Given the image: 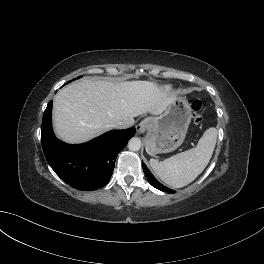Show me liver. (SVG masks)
<instances>
[{
    "mask_svg": "<svg viewBox=\"0 0 264 264\" xmlns=\"http://www.w3.org/2000/svg\"><path fill=\"white\" fill-rule=\"evenodd\" d=\"M176 97L150 81L84 79L64 87L54 98V130L65 142L83 143L114 128L117 122L130 127L134 117L160 115Z\"/></svg>",
    "mask_w": 264,
    "mask_h": 264,
    "instance_id": "obj_1",
    "label": "liver"
}]
</instances>
